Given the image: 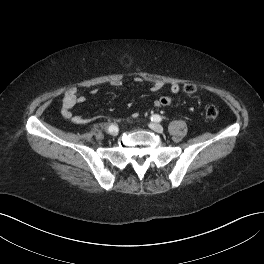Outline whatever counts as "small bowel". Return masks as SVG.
I'll use <instances>...</instances> for the list:
<instances>
[{
	"label": "small bowel",
	"mask_w": 264,
	"mask_h": 264,
	"mask_svg": "<svg viewBox=\"0 0 264 264\" xmlns=\"http://www.w3.org/2000/svg\"><path fill=\"white\" fill-rule=\"evenodd\" d=\"M136 82H141L142 79L140 77L135 78ZM110 85L113 87H120L122 85V81L119 79L112 80ZM165 86V83L161 80H156L151 84V91L157 92L160 91ZM170 90L172 93L176 94L180 91V86L178 84H172L170 86ZM93 93L96 92V89L92 91ZM86 98L80 93L79 89L72 87L68 89L63 97L62 100V108L61 114L64 118L72 120L74 123L77 124H85L88 123L90 120L87 118H83L79 115H74L72 110L73 108L79 104L84 103ZM155 106H160L158 100L154 103Z\"/></svg>",
	"instance_id": "1"
}]
</instances>
